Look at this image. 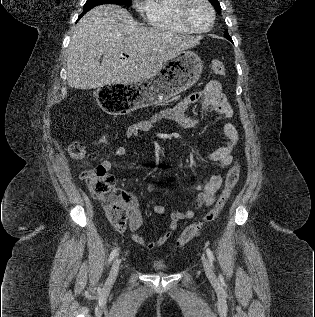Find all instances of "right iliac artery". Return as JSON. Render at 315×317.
<instances>
[{
    "label": "right iliac artery",
    "mask_w": 315,
    "mask_h": 317,
    "mask_svg": "<svg viewBox=\"0 0 315 317\" xmlns=\"http://www.w3.org/2000/svg\"><path fill=\"white\" fill-rule=\"evenodd\" d=\"M118 248H115L112 252H111V254H110V256H109V263H111L112 261H113V259L115 258V256L117 255V253H118Z\"/></svg>",
    "instance_id": "1"
}]
</instances>
